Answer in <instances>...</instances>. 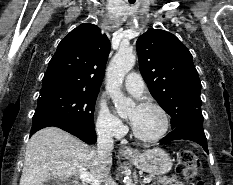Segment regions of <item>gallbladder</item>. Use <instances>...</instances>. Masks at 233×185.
I'll list each match as a JSON object with an SVG mask.
<instances>
[{
	"label": "gallbladder",
	"mask_w": 233,
	"mask_h": 185,
	"mask_svg": "<svg viewBox=\"0 0 233 185\" xmlns=\"http://www.w3.org/2000/svg\"><path fill=\"white\" fill-rule=\"evenodd\" d=\"M43 185H74L72 182L61 180L60 178H51Z\"/></svg>",
	"instance_id": "gallbladder-1"
}]
</instances>
